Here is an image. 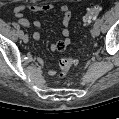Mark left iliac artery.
I'll use <instances>...</instances> for the list:
<instances>
[{"instance_id":"1","label":"left iliac artery","mask_w":119,"mask_h":119,"mask_svg":"<svg viewBox=\"0 0 119 119\" xmlns=\"http://www.w3.org/2000/svg\"><path fill=\"white\" fill-rule=\"evenodd\" d=\"M100 23H101V19H97L95 22V24H99V25H100Z\"/></svg>"}]
</instances>
